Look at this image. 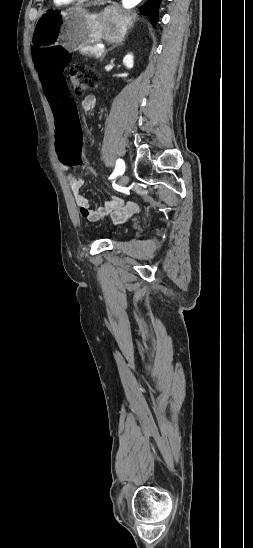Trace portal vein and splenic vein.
Wrapping results in <instances>:
<instances>
[{"label": "portal vein and splenic vein", "instance_id": "portal-vein-and-splenic-vein-1", "mask_svg": "<svg viewBox=\"0 0 253 548\" xmlns=\"http://www.w3.org/2000/svg\"><path fill=\"white\" fill-rule=\"evenodd\" d=\"M99 49L103 51V50H104V47H103V46H99Z\"/></svg>", "mask_w": 253, "mask_h": 548}]
</instances>
